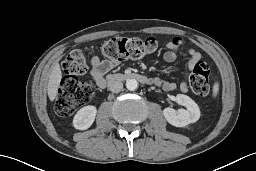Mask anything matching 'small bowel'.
I'll list each match as a JSON object with an SVG mask.
<instances>
[{
  "label": "small bowel",
  "instance_id": "c3829d8e",
  "mask_svg": "<svg viewBox=\"0 0 256 171\" xmlns=\"http://www.w3.org/2000/svg\"><path fill=\"white\" fill-rule=\"evenodd\" d=\"M183 47V41L179 37H174L171 39L168 44V50L163 54V60L167 63H172L177 58V51ZM189 61L187 67L189 70L193 69L194 66L200 61L201 54L195 49H189ZM119 64V61L115 60H101L98 56L94 55L90 59L91 65V77L93 82L100 88L105 86V76L106 74L116 67ZM153 82L162 88L165 91H173L176 88L175 83L164 81L161 79H154ZM182 91L187 89L186 82L180 84Z\"/></svg>",
  "mask_w": 256,
  "mask_h": 171
}]
</instances>
